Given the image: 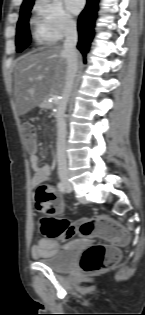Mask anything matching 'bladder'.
<instances>
[{"label": "bladder", "mask_w": 145, "mask_h": 315, "mask_svg": "<svg viewBox=\"0 0 145 315\" xmlns=\"http://www.w3.org/2000/svg\"><path fill=\"white\" fill-rule=\"evenodd\" d=\"M69 249L79 248H64L57 251L53 256L42 259V262L55 272L66 271L73 266L76 258V256H69Z\"/></svg>", "instance_id": "1"}]
</instances>
